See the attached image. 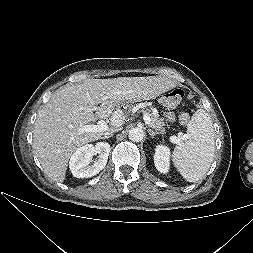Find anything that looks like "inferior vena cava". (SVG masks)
<instances>
[{
  "instance_id": "obj_1",
  "label": "inferior vena cava",
  "mask_w": 253,
  "mask_h": 253,
  "mask_svg": "<svg viewBox=\"0 0 253 253\" xmlns=\"http://www.w3.org/2000/svg\"><path fill=\"white\" fill-rule=\"evenodd\" d=\"M119 130L121 129L119 128V129H112L111 131H107L105 133V137L112 136L114 132L119 131Z\"/></svg>"
}]
</instances>
